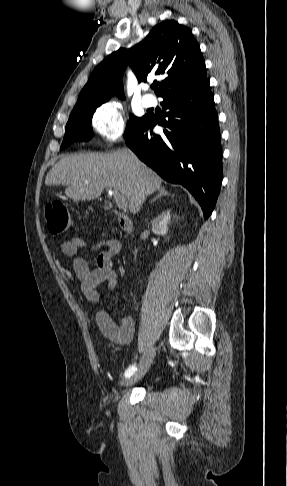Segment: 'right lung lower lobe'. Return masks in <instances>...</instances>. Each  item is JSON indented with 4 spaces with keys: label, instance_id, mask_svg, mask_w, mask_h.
Returning <instances> with one entry per match:
<instances>
[{
    "label": "right lung lower lobe",
    "instance_id": "1",
    "mask_svg": "<svg viewBox=\"0 0 287 486\" xmlns=\"http://www.w3.org/2000/svg\"><path fill=\"white\" fill-rule=\"evenodd\" d=\"M167 120L145 115L125 139L138 158L168 182L181 184L212 213L222 182V149L217 112L208 78L161 96ZM164 134L153 133L156 124Z\"/></svg>",
    "mask_w": 287,
    "mask_h": 486
}]
</instances>
